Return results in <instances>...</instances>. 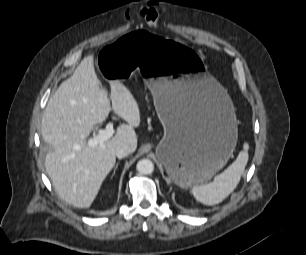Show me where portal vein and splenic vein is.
I'll return each instance as SVG.
<instances>
[{"label": "portal vein and splenic vein", "mask_w": 306, "mask_h": 255, "mask_svg": "<svg viewBox=\"0 0 306 255\" xmlns=\"http://www.w3.org/2000/svg\"><path fill=\"white\" fill-rule=\"evenodd\" d=\"M113 134H114L113 123L109 122L106 125L105 129L98 130V134L95 137L88 139L87 144L90 147H94L99 144L102 145L105 141L110 139L113 136Z\"/></svg>", "instance_id": "1"}]
</instances>
